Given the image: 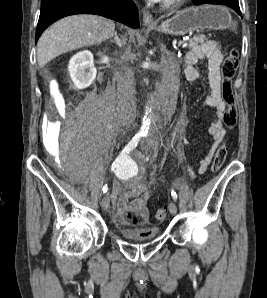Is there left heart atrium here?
Segmentation results:
<instances>
[{
    "label": "left heart atrium",
    "instance_id": "left-heart-atrium-1",
    "mask_svg": "<svg viewBox=\"0 0 267 298\" xmlns=\"http://www.w3.org/2000/svg\"><path fill=\"white\" fill-rule=\"evenodd\" d=\"M151 1H154V2H159V1H161V0H151Z\"/></svg>",
    "mask_w": 267,
    "mask_h": 298
}]
</instances>
